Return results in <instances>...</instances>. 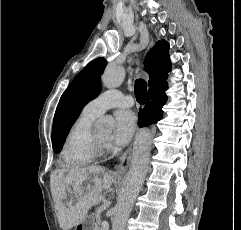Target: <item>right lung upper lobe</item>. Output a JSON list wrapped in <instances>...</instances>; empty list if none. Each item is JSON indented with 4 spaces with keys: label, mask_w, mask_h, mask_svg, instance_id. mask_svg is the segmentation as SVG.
Listing matches in <instances>:
<instances>
[{
    "label": "right lung upper lobe",
    "mask_w": 241,
    "mask_h": 230,
    "mask_svg": "<svg viewBox=\"0 0 241 230\" xmlns=\"http://www.w3.org/2000/svg\"><path fill=\"white\" fill-rule=\"evenodd\" d=\"M169 44L165 41H158L147 53L145 59V71L149 74L148 86L164 79L171 69L169 58Z\"/></svg>",
    "instance_id": "right-lung-upper-lobe-1"
}]
</instances>
